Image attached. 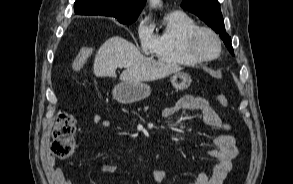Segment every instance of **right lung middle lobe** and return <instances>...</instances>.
Returning a JSON list of instances; mask_svg holds the SVG:
<instances>
[{"instance_id":"dd1d6c3e","label":"right lung middle lobe","mask_w":293,"mask_h":184,"mask_svg":"<svg viewBox=\"0 0 293 184\" xmlns=\"http://www.w3.org/2000/svg\"><path fill=\"white\" fill-rule=\"evenodd\" d=\"M136 19H130V20H123V21H120V23L122 24H131L135 21Z\"/></svg>"}]
</instances>
